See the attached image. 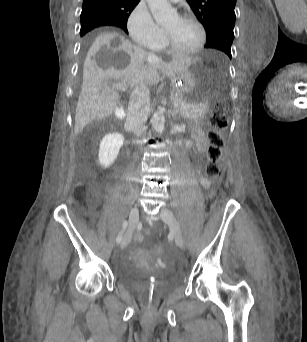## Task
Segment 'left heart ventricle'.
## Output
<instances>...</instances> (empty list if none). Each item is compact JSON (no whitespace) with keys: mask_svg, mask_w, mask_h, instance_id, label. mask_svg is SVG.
I'll return each mask as SVG.
<instances>
[{"mask_svg":"<svg viewBox=\"0 0 307 342\" xmlns=\"http://www.w3.org/2000/svg\"><path fill=\"white\" fill-rule=\"evenodd\" d=\"M167 37L169 45L177 50H188L195 47L200 39L199 27L192 22H182L179 18L174 19L161 29Z\"/></svg>","mask_w":307,"mask_h":342,"instance_id":"1","label":"left heart ventricle"}]
</instances>
